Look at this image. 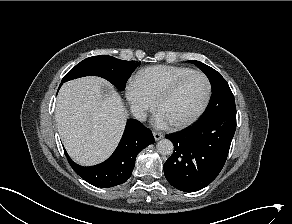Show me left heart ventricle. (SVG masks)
<instances>
[{"instance_id":"b2bd125f","label":"left heart ventricle","mask_w":292,"mask_h":224,"mask_svg":"<svg viewBox=\"0 0 292 224\" xmlns=\"http://www.w3.org/2000/svg\"><path fill=\"white\" fill-rule=\"evenodd\" d=\"M206 92L205 80L200 76L192 77L160 106L158 113L164 117L168 124L185 121L201 107Z\"/></svg>"}]
</instances>
